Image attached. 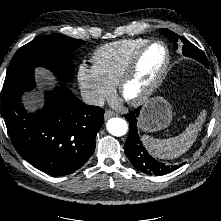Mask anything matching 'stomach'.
<instances>
[{
	"label": "stomach",
	"mask_w": 221,
	"mask_h": 221,
	"mask_svg": "<svg viewBox=\"0 0 221 221\" xmlns=\"http://www.w3.org/2000/svg\"><path fill=\"white\" fill-rule=\"evenodd\" d=\"M172 109L166 99L155 96L146 101L138 118V125L145 132L167 128L172 121Z\"/></svg>",
	"instance_id": "0dacf381"
}]
</instances>
